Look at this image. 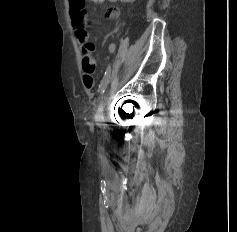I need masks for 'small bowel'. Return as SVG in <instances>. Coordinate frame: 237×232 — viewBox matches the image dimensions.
<instances>
[{"label":"small bowel","mask_w":237,"mask_h":232,"mask_svg":"<svg viewBox=\"0 0 237 232\" xmlns=\"http://www.w3.org/2000/svg\"><path fill=\"white\" fill-rule=\"evenodd\" d=\"M93 3L99 4L104 0H91ZM116 14L112 18L117 17V10L114 9ZM77 39L81 44L82 52V69H83V83L86 88L91 89L94 86V73H95V60L93 58L94 45L88 41L87 38H81L77 35Z\"/></svg>","instance_id":"small-bowel-1"}]
</instances>
